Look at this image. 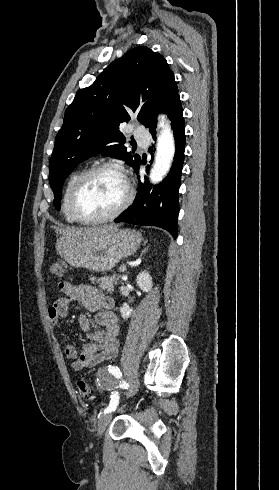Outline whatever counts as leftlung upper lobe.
Returning a JSON list of instances; mask_svg holds the SVG:
<instances>
[{"mask_svg":"<svg viewBox=\"0 0 279 490\" xmlns=\"http://www.w3.org/2000/svg\"><path fill=\"white\" fill-rule=\"evenodd\" d=\"M142 101L148 99L139 107ZM178 95L174 73L167 61L151 49L138 46L113 61L95 80L79 90L65 111L64 123L55 139L49 162V182L54 205L59 210L62 186L69 173L83 160L101 154L119 158L134 168L140 156L127 152L119 124L137 112L146 128L165 113Z\"/></svg>","mask_w":279,"mask_h":490,"instance_id":"5c2ea615","label":"left lung upper lobe"}]
</instances>
